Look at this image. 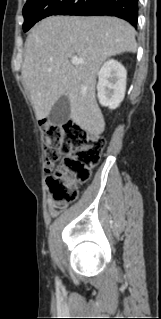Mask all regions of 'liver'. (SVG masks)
Masks as SVG:
<instances>
[{
	"instance_id": "liver-1",
	"label": "liver",
	"mask_w": 161,
	"mask_h": 319,
	"mask_svg": "<svg viewBox=\"0 0 161 319\" xmlns=\"http://www.w3.org/2000/svg\"><path fill=\"white\" fill-rule=\"evenodd\" d=\"M134 28L107 16H56L37 23L29 32L22 64L23 84L37 119L49 116L56 101L66 95L72 121L92 135L105 129L95 97L97 73L110 56L135 53ZM83 60L73 65L69 58Z\"/></svg>"
}]
</instances>
